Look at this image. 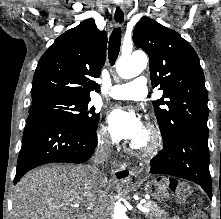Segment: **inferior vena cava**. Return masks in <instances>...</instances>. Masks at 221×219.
Segmentation results:
<instances>
[{
    "label": "inferior vena cava",
    "instance_id": "inferior-vena-cava-1",
    "mask_svg": "<svg viewBox=\"0 0 221 219\" xmlns=\"http://www.w3.org/2000/svg\"><path fill=\"white\" fill-rule=\"evenodd\" d=\"M111 151L112 146L110 141H108L107 139H99L94 157V166L91 167L92 173L96 179L103 177V173L97 168V165L103 164L104 161H106L109 157ZM105 215L106 214L102 210L95 208L92 213V219H103Z\"/></svg>",
    "mask_w": 221,
    "mask_h": 219
}]
</instances>
